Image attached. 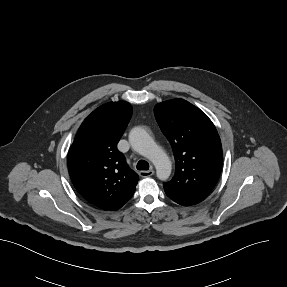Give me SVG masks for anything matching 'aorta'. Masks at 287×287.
Returning <instances> with one entry per match:
<instances>
[{"label": "aorta", "mask_w": 287, "mask_h": 287, "mask_svg": "<svg viewBox=\"0 0 287 287\" xmlns=\"http://www.w3.org/2000/svg\"><path fill=\"white\" fill-rule=\"evenodd\" d=\"M129 141L135 151L154 164L158 179L165 181L169 178L172 169L171 161L145 129L134 127L130 131Z\"/></svg>", "instance_id": "aorta-1"}]
</instances>
